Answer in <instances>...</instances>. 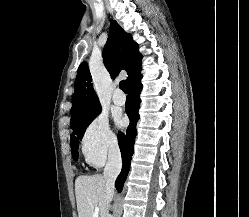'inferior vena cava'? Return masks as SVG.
<instances>
[{
  "label": "inferior vena cava",
  "instance_id": "602c4592",
  "mask_svg": "<svg viewBox=\"0 0 249 217\" xmlns=\"http://www.w3.org/2000/svg\"><path fill=\"white\" fill-rule=\"evenodd\" d=\"M122 168L121 153L117 142H112L109 147L108 161L104 168V179L106 181L107 205L112 201L115 189V180Z\"/></svg>",
  "mask_w": 249,
  "mask_h": 217
}]
</instances>
